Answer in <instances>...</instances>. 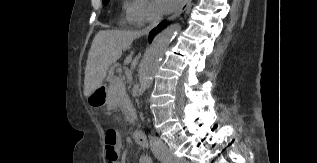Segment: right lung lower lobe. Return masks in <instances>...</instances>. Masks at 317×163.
Listing matches in <instances>:
<instances>
[{
  "mask_svg": "<svg viewBox=\"0 0 317 163\" xmlns=\"http://www.w3.org/2000/svg\"><path fill=\"white\" fill-rule=\"evenodd\" d=\"M166 21L160 23L156 28H154L150 34H149V41L151 42V40L153 39V37L160 31L162 30L163 28L166 27Z\"/></svg>",
  "mask_w": 317,
  "mask_h": 163,
  "instance_id": "1",
  "label": "right lung lower lobe"
}]
</instances>
